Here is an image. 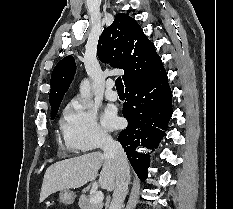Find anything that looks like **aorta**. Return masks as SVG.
Here are the masks:
<instances>
[{
	"label": "aorta",
	"mask_w": 233,
	"mask_h": 209,
	"mask_svg": "<svg viewBox=\"0 0 233 209\" xmlns=\"http://www.w3.org/2000/svg\"><path fill=\"white\" fill-rule=\"evenodd\" d=\"M80 96L83 101L91 98V86L89 80L87 79H84L80 84Z\"/></svg>",
	"instance_id": "762f6f07"
}]
</instances>
